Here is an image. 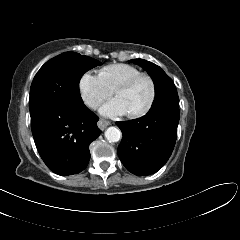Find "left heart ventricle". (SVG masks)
Masks as SVG:
<instances>
[{
    "label": "left heart ventricle",
    "instance_id": "left-heart-ventricle-1",
    "mask_svg": "<svg viewBox=\"0 0 240 240\" xmlns=\"http://www.w3.org/2000/svg\"><path fill=\"white\" fill-rule=\"evenodd\" d=\"M150 95L151 87L147 79H141L131 88L122 90L117 94L125 101L130 112L139 111L145 107Z\"/></svg>",
    "mask_w": 240,
    "mask_h": 240
}]
</instances>
